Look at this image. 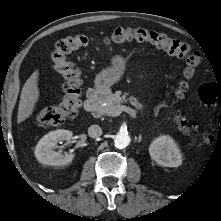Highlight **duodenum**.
I'll return each mask as SVG.
<instances>
[{"mask_svg":"<svg viewBox=\"0 0 221 221\" xmlns=\"http://www.w3.org/2000/svg\"><path fill=\"white\" fill-rule=\"evenodd\" d=\"M104 91L100 89H92L88 92L86 101L84 103V111L91 112L95 109L97 103L104 96Z\"/></svg>","mask_w":221,"mask_h":221,"instance_id":"obj_1","label":"duodenum"}]
</instances>
